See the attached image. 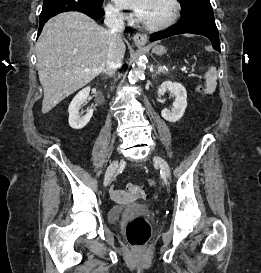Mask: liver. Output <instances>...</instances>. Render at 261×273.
Returning <instances> with one entry per match:
<instances>
[{
  "label": "liver",
  "mask_w": 261,
  "mask_h": 273,
  "mask_svg": "<svg viewBox=\"0 0 261 273\" xmlns=\"http://www.w3.org/2000/svg\"><path fill=\"white\" fill-rule=\"evenodd\" d=\"M110 40L109 30L80 12L61 13L44 25L36 43L38 75L44 91L42 113H48L104 70ZM125 50L121 39L123 56ZM86 68L90 71H84Z\"/></svg>",
  "instance_id": "liver-1"
}]
</instances>
